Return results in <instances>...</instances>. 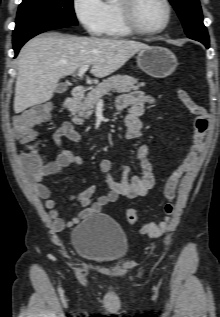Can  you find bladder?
Segmentation results:
<instances>
[{
    "label": "bladder",
    "mask_w": 220,
    "mask_h": 317,
    "mask_svg": "<svg viewBox=\"0 0 220 317\" xmlns=\"http://www.w3.org/2000/svg\"><path fill=\"white\" fill-rule=\"evenodd\" d=\"M76 252L85 260L110 265L125 259L130 246L124 230L105 214H92L71 233Z\"/></svg>",
    "instance_id": "bladder-1"
}]
</instances>
